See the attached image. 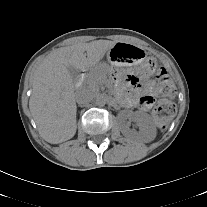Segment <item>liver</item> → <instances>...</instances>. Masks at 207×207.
<instances>
[{
  "label": "liver",
  "mask_w": 207,
  "mask_h": 207,
  "mask_svg": "<svg viewBox=\"0 0 207 207\" xmlns=\"http://www.w3.org/2000/svg\"><path fill=\"white\" fill-rule=\"evenodd\" d=\"M115 43L96 40L62 47L37 66L31 77L29 109L45 141L62 143L76 133V92L68 67L81 71L94 67Z\"/></svg>",
  "instance_id": "1"
}]
</instances>
